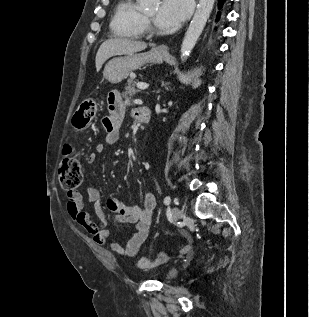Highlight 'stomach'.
<instances>
[{
  "mask_svg": "<svg viewBox=\"0 0 309 317\" xmlns=\"http://www.w3.org/2000/svg\"><path fill=\"white\" fill-rule=\"evenodd\" d=\"M166 54L155 47L145 53H131L111 59L104 68L103 75L112 84L120 83L129 73L141 69L147 63H162Z\"/></svg>",
  "mask_w": 309,
  "mask_h": 317,
  "instance_id": "1",
  "label": "stomach"
}]
</instances>
